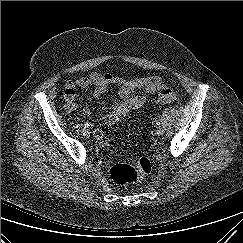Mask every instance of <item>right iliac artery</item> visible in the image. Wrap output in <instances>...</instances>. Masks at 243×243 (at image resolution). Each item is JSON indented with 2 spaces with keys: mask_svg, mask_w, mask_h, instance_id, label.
<instances>
[{
  "mask_svg": "<svg viewBox=\"0 0 243 243\" xmlns=\"http://www.w3.org/2000/svg\"><path fill=\"white\" fill-rule=\"evenodd\" d=\"M83 126H84V128H86V127H88V126H89V124H88V123H86V124H84Z\"/></svg>",
  "mask_w": 243,
  "mask_h": 243,
  "instance_id": "right-iliac-artery-1",
  "label": "right iliac artery"
}]
</instances>
